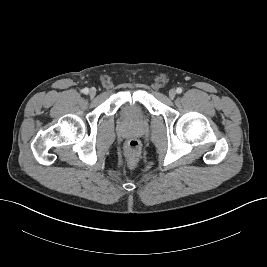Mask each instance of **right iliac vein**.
<instances>
[{
  "mask_svg": "<svg viewBox=\"0 0 267 267\" xmlns=\"http://www.w3.org/2000/svg\"><path fill=\"white\" fill-rule=\"evenodd\" d=\"M89 95L91 97H94L96 95V89L95 88H91L90 91H89Z\"/></svg>",
  "mask_w": 267,
  "mask_h": 267,
  "instance_id": "right-iliac-vein-1",
  "label": "right iliac vein"
}]
</instances>
